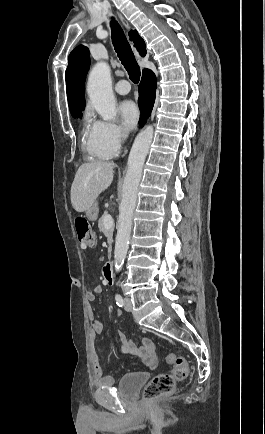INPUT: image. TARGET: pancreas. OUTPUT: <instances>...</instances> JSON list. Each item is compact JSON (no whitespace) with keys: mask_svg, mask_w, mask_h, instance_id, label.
I'll return each instance as SVG.
<instances>
[{"mask_svg":"<svg viewBox=\"0 0 265 434\" xmlns=\"http://www.w3.org/2000/svg\"><path fill=\"white\" fill-rule=\"evenodd\" d=\"M105 214H107V212H105ZM105 214H104V216H105ZM104 216H103V218H104ZM103 218H100V220H98V228H99V232H103L104 236H106V238H107V242L109 244L108 254L110 256L111 250H112L114 230H113V228H110V230H107V228H105Z\"/></svg>","mask_w":265,"mask_h":434,"instance_id":"pancreas-1","label":"pancreas"}]
</instances>
